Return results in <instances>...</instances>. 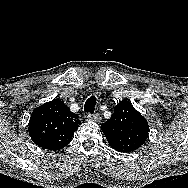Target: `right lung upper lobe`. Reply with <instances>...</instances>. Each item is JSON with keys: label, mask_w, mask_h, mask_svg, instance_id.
Segmentation results:
<instances>
[{"label": "right lung upper lobe", "mask_w": 188, "mask_h": 188, "mask_svg": "<svg viewBox=\"0 0 188 188\" xmlns=\"http://www.w3.org/2000/svg\"><path fill=\"white\" fill-rule=\"evenodd\" d=\"M78 115L59 99L34 109L29 121V135L33 142L48 150H60L67 146L78 129Z\"/></svg>", "instance_id": "1"}]
</instances>
